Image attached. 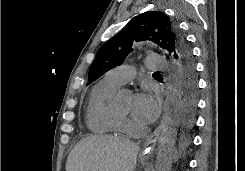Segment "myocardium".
Wrapping results in <instances>:
<instances>
[{
    "instance_id": "1",
    "label": "myocardium",
    "mask_w": 245,
    "mask_h": 171,
    "mask_svg": "<svg viewBox=\"0 0 245 171\" xmlns=\"http://www.w3.org/2000/svg\"><path fill=\"white\" fill-rule=\"evenodd\" d=\"M120 113V115L121 116H126V114L125 113H122V112H119Z\"/></svg>"
}]
</instances>
